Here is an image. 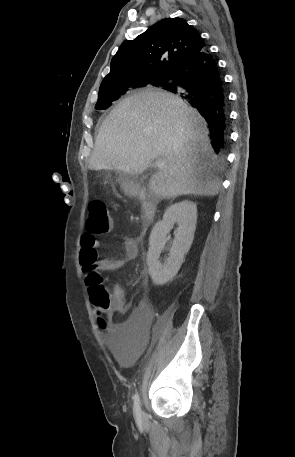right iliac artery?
Wrapping results in <instances>:
<instances>
[{
  "label": "right iliac artery",
  "mask_w": 295,
  "mask_h": 457,
  "mask_svg": "<svg viewBox=\"0 0 295 457\" xmlns=\"http://www.w3.org/2000/svg\"><path fill=\"white\" fill-rule=\"evenodd\" d=\"M133 400H134V412L137 416H141V408H140V399H139V394L136 393L134 396H133Z\"/></svg>",
  "instance_id": "right-iliac-artery-1"
}]
</instances>
